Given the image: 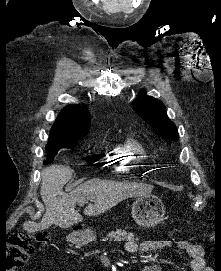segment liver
I'll return each mask as SVG.
<instances>
[{
  "mask_svg": "<svg viewBox=\"0 0 221 271\" xmlns=\"http://www.w3.org/2000/svg\"><path fill=\"white\" fill-rule=\"evenodd\" d=\"M72 177V169L68 165H49L41 171L40 195L46 205V211L37 225L29 231H40L50 225L59 227H71L82 221L83 217L77 209L76 203H80L79 197L93 195L94 203H88L83 213L85 215H100L119 201H123L131 195H142L138 185L121 183V181H108V179H88L79 187L66 195L63 187ZM139 189V191H138Z\"/></svg>",
  "mask_w": 221,
  "mask_h": 271,
  "instance_id": "liver-1",
  "label": "liver"
}]
</instances>
